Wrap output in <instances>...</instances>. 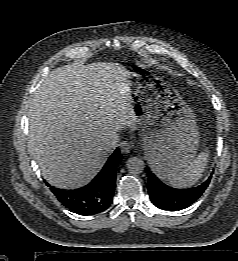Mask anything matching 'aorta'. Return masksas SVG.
Wrapping results in <instances>:
<instances>
[{
	"mask_svg": "<svg viewBox=\"0 0 238 261\" xmlns=\"http://www.w3.org/2000/svg\"><path fill=\"white\" fill-rule=\"evenodd\" d=\"M126 166L132 174H140L144 170V162L138 157H130L126 162Z\"/></svg>",
	"mask_w": 238,
	"mask_h": 261,
	"instance_id": "obj_1",
	"label": "aorta"
}]
</instances>
